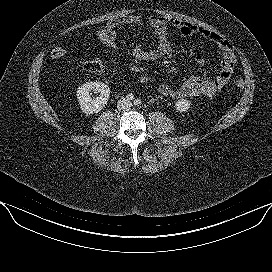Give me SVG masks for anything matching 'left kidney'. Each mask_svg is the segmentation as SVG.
I'll return each instance as SVG.
<instances>
[{
  "mask_svg": "<svg viewBox=\"0 0 272 272\" xmlns=\"http://www.w3.org/2000/svg\"><path fill=\"white\" fill-rule=\"evenodd\" d=\"M191 103L188 100L181 99L178 100L175 104V108L178 112H187L190 108Z\"/></svg>",
  "mask_w": 272,
  "mask_h": 272,
  "instance_id": "obj_1",
  "label": "left kidney"
}]
</instances>
